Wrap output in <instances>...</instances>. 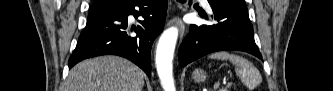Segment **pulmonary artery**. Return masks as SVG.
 Here are the masks:
<instances>
[{"label": "pulmonary artery", "instance_id": "e3ab8cb5", "mask_svg": "<svg viewBox=\"0 0 333 91\" xmlns=\"http://www.w3.org/2000/svg\"><path fill=\"white\" fill-rule=\"evenodd\" d=\"M202 3H204V5H205V7L207 8L208 11H211V8H210L207 0H202Z\"/></svg>", "mask_w": 333, "mask_h": 91}]
</instances>
